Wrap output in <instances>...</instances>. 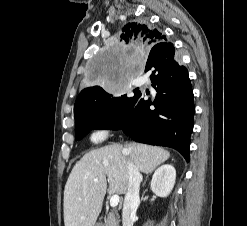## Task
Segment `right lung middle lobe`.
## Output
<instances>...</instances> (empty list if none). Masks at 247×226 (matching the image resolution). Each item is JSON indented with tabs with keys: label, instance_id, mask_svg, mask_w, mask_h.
<instances>
[{
	"label": "right lung middle lobe",
	"instance_id": "right-lung-middle-lobe-1",
	"mask_svg": "<svg viewBox=\"0 0 247 226\" xmlns=\"http://www.w3.org/2000/svg\"><path fill=\"white\" fill-rule=\"evenodd\" d=\"M85 98L74 108L76 140L82 139L90 130L107 120L128 99L126 94H111L104 88Z\"/></svg>",
	"mask_w": 247,
	"mask_h": 226
}]
</instances>
